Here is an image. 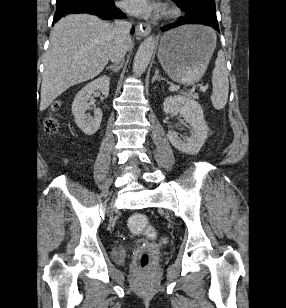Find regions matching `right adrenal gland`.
<instances>
[{"instance_id": "2a0ac1e0", "label": "right adrenal gland", "mask_w": 286, "mask_h": 308, "mask_svg": "<svg viewBox=\"0 0 286 308\" xmlns=\"http://www.w3.org/2000/svg\"><path fill=\"white\" fill-rule=\"evenodd\" d=\"M121 68V65H111L106 67V70H111L112 72H118Z\"/></svg>"}]
</instances>
